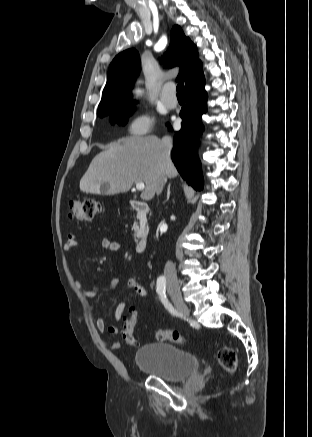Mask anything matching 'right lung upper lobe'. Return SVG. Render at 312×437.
<instances>
[{
	"label": "right lung upper lobe",
	"instance_id": "right-lung-upper-lobe-1",
	"mask_svg": "<svg viewBox=\"0 0 312 437\" xmlns=\"http://www.w3.org/2000/svg\"><path fill=\"white\" fill-rule=\"evenodd\" d=\"M163 63L165 67L182 66L177 80L185 81V87L203 76L197 48L179 26H174L171 31L170 47L164 54ZM139 71L140 57L135 49L125 50L113 59L98 107L99 116L107 115L125 104H133L129 94Z\"/></svg>",
	"mask_w": 312,
	"mask_h": 437
}]
</instances>
